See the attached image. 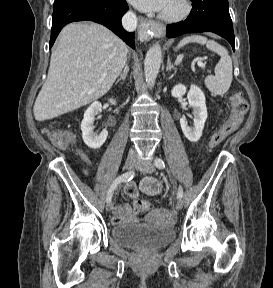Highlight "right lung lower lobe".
<instances>
[{"mask_svg":"<svg viewBox=\"0 0 273 288\" xmlns=\"http://www.w3.org/2000/svg\"><path fill=\"white\" fill-rule=\"evenodd\" d=\"M128 10L125 0H55L49 48L61 29L74 21L91 20L100 23L135 48V33L126 32L121 18Z\"/></svg>","mask_w":273,"mask_h":288,"instance_id":"1","label":"right lung lower lobe"}]
</instances>
